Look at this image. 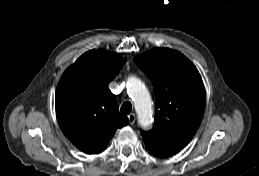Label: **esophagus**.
<instances>
[{"label":"esophagus","mask_w":259,"mask_h":176,"mask_svg":"<svg viewBox=\"0 0 259 176\" xmlns=\"http://www.w3.org/2000/svg\"><path fill=\"white\" fill-rule=\"evenodd\" d=\"M128 119H129V123L130 124H134L135 123V120H136V116L134 113H131L128 115Z\"/></svg>","instance_id":"obj_1"}]
</instances>
